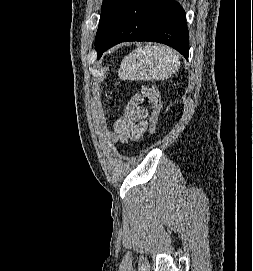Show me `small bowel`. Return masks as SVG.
Instances as JSON below:
<instances>
[{
  "label": "small bowel",
  "instance_id": "obj_1",
  "mask_svg": "<svg viewBox=\"0 0 253 271\" xmlns=\"http://www.w3.org/2000/svg\"><path fill=\"white\" fill-rule=\"evenodd\" d=\"M139 98L133 99L114 123L112 138L121 143L138 141L148 128L147 110L138 105Z\"/></svg>",
  "mask_w": 253,
  "mask_h": 271
}]
</instances>
